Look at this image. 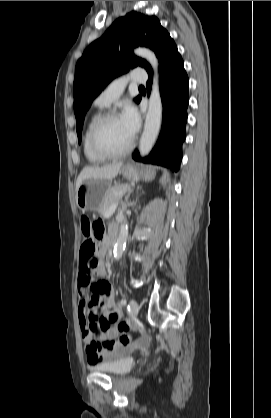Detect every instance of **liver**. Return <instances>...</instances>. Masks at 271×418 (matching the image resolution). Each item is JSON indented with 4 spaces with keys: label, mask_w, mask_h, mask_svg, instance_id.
I'll use <instances>...</instances> for the list:
<instances>
[{
    "label": "liver",
    "mask_w": 271,
    "mask_h": 418,
    "mask_svg": "<svg viewBox=\"0 0 271 418\" xmlns=\"http://www.w3.org/2000/svg\"><path fill=\"white\" fill-rule=\"evenodd\" d=\"M122 165H123L122 162H118V163L106 165L103 167L86 166L85 168H83V170L81 171V173L79 174L77 178L76 188H75L76 192L78 188L80 187V185L86 179L95 178V179H104L108 181L114 179L118 175Z\"/></svg>",
    "instance_id": "1"
}]
</instances>
